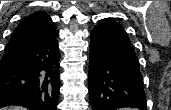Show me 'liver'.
<instances>
[{
	"label": "liver",
	"instance_id": "liver-1",
	"mask_svg": "<svg viewBox=\"0 0 171 110\" xmlns=\"http://www.w3.org/2000/svg\"><path fill=\"white\" fill-rule=\"evenodd\" d=\"M5 110H23L21 107H9L6 108Z\"/></svg>",
	"mask_w": 171,
	"mask_h": 110
}]
</instances>
